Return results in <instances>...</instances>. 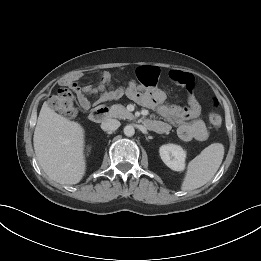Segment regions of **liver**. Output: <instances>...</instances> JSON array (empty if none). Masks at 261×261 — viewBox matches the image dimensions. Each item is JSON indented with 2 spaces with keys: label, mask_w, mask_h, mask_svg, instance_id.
I'll return each instance as SVG.
<instances>
[{
  "label": "liver",
  "mask_w": 261,
  "mask_h": 261,
  "mask_svg": "<svg viewBox=\"0 0 261 261\" xmlns=\"http://www.w3.org/2000/svg\"><path fill=\"white\" fill-rule=\"evenodd\" d=\"M36 158L47 176L60 184H77L86 171L85 131L44 102L34 131Z\"/></svg>",
  "instance_id": "1"
}]
</instances>
